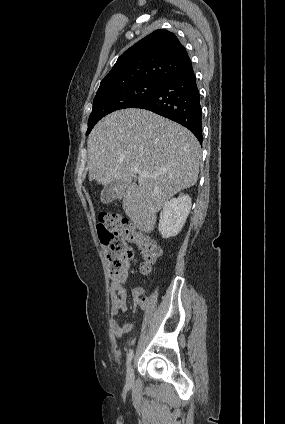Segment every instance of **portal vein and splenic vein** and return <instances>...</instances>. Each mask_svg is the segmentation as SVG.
<instances>
[{
  "label": "portal vein and splenic vein",
  "instance_id": "portal-vein-and-splenic-vein-1",
  "mask_svg": "<svg viewBox=\"0 0 285 424\" xmlns=\"http://www.w3.org/2000/svg\"><path fill=\"white\" fill-rule=\"evenodd\" d=\"M131 171H132L134 174H138V175H141V176H143V177H149V176H150L148 173H145V172L141 171V170H140V168H139L138 166H133V167L131 168Z\"/></svg>",
  "mask_w": 285,
  "mask_h": 424
}]
</instances>
